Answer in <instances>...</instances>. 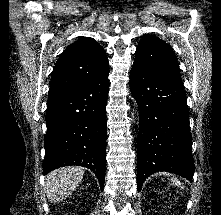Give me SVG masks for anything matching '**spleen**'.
Wrapping results in <instances>:
<instances>
[{
  "label": "spleen",
  "mask_w": 221,
  "mask_h": 215,
  "mask_svg": "<svg viewBox=\"0 0 221 215\" xmlns=\"http://www.w3.org/2000/svg\"><path fill=\"white\" fill-rule=\"evenodd\" d=\"M174 182H175V184H178V181H175V180H174Z\"/></svg>",
  "instance_id": "3e777b00"
}]
</instances>
